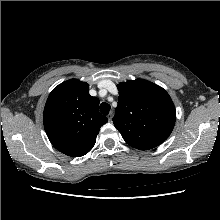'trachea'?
<instances>
[{"mask_svg": "<svg viewBox=\"0 0 220 220\" xmlns=\"http://www.w3.org/2000/svg\"><path fill=\"white\" fill-rule=\"evenodd\" d=\"M110 109H111V106L108 103L102 102L100 104V112L103 115H107L109 113Z\"/></svg>", "mask_w": 220, "mask_h": 220, "instance_id": "3493384b", "label": "trachea"}]
</instances>
